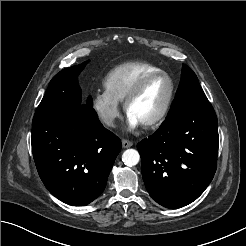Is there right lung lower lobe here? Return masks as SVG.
<instances>
[{
	"label": "right lung lower lobe",
	"instance_id": "right-lung-lower-lobe-1",
	"mask_svg": "<svg viewBox=\"0 0 246 246\" xmlns=\"http://www.w3.org/2000/svg\"><path fill=\"white\" fill-rule=\"evenodd\" d=\"M121 141L89 104L61 117L34 118L32 151L41 180L59 200L85 206L105 189Z\"/></svg>",
	"mask_w": 246,
	"mask_h": 246
}]
</instances>
